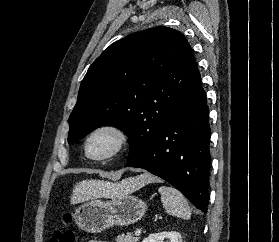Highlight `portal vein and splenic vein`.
<instances>
[{"label": "portal vein and splenic vein", "instance_id": "1", "mask_svg": "<svg viewBox=\"0 0 279 242\" xmlns=\"http://www.w3.org/2000/svg\"><path fill=\"white\" fill-rule=\"evenodd\" d=\"M140 234H141V229L136 230L134 233L136 237L140 236Z\"/></svg>", "mask_w": 279, "mask_h": 242}]
</instances>
